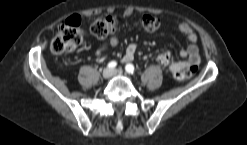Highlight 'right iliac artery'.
<instances>
[{"mask_svg": "<svg viewBox=\"0 0 247 145\" xmlns=\"http://www.w3.org/2000/svg\"><path fill=\"white\" fill-rule=\"evenodd\" d=\"M116 65H117V63L115 61H111V62L108 63V67L111 68V69L115 68Z\"/></svg>", "mask_w": 247, "mask_h": 145, "instance_id": "obj_1", "label": "right iliac artery"}]
</instances>
